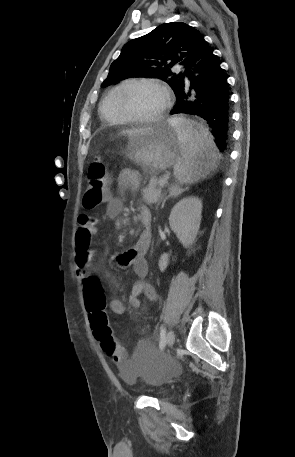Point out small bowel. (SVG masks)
Here are the masks:
<instances>
[{"label":"small bowel","mask_w":295,"mask_h":457,"mask_svg":"<svg viewBox=\"0 0 295 457\" xmlns=\"http://www.w3.org/2000/svg\"><path fill=\"white\" fill-rule=\"evenodd\" d=\"M140 186L139 175L132 170L124 169L118 176V188L122 191H136ZM123 209V203L120 199L112 197L108 200L105 218H117ZM138 217L142 225V233L137 243L121 252L116 257V263L119 267H132L134 274L137 276V281L133 284L128 303L132 308L140 306V296L145 295L151 302H157L158 295L153 286L145 280L148 273V265L145 259L149 246L151 244V214L147 207H138ZM78 230L75 239L76 260L75 273L83 284L88 278L95 277L90 272L91 261L94 256V250L91 248L93 236L97 233V221L87 215L81 214L77 218ZM111 311L118 315L126 313V306L119 299H112L109 302ZM116 341V340H115ZM118 342V341H116ZM121 349L125 351L121 345ZM124 360H121L123 362ZM120 362V363H121ZM117 363V364H120Z\"/></svg>","instance_id":"1"}]
</instances>
